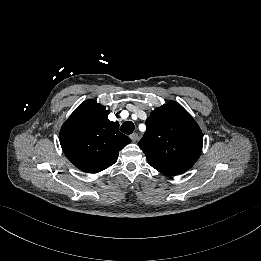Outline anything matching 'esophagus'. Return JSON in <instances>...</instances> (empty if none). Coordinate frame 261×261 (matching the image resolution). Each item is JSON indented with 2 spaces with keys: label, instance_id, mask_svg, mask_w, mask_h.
I'll use <instances>...</instances> for the list:
<instances>
[{
  "label": "esophagus",
  "instance_id": "esophagus-1",
  "mask_svg": "<svg viewBox=\"0 0 261 261\" xmlns=\"http://www.w3.org/2000/svg\"><path fill=\"white\" fill-rule=\"evenodd\" d=\"M130 138H131V140H132L133 142H137L138 139H139V135H138L137 133H132V134L130 135Z\"/></svg>",
  "mask_w": 261,
  "mask_h": 261
}]
</instances>
